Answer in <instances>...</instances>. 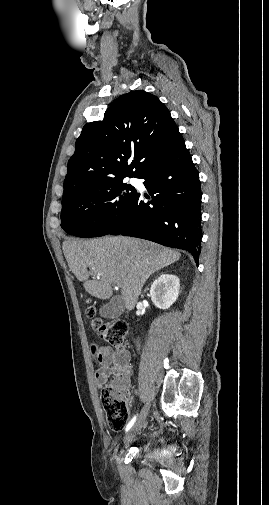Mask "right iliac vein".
<instances>
[{"label": "right iliac vein", "mask_w": 269, "mask_h": 505, "mask_svg": "<svg viewBox=\"0 0 269 505\" xmlns=\"http://www.w3.org/2000/svg\"><path fill=\"white\" fill-rule=\"evenodd\" d=\"M148 411H149V403H146L144 405V407L142 408V411H141V413H140L137 421L131 427V429L129 430V432L126 434V436L124 438V443L125 444L130 443L133 440V438L135 437L136 433L145 424L146 418H147V415H148Z\"/></svg>", "instance_id": "right-iliac-vein-1"}]
</instances>
